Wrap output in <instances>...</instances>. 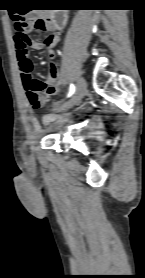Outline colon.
<instances>
[{
    "mask_svg": "<svg viewBox=\"0 0 145 278\" xmlns=\"http://www.w3.org/2000/svg\"><path fill=\"white\" fill-rule=\"evenodd\" d=\"M49 25V19L48 18H35L32 23L33 30L36 31H44L47 29ZM27 28V25L22 22L21 20L14 19V36L18 42V45L16 46L17 50V57L20 59H23L25 56H27L28 51V37L25 34V30ZM29 87V93H28V99L30 104L35 107H41L42 106V100L40 96V85L34 80H30L28 83Z\"/></svg>",
    "mask_w": 145,
    "mask_h": 278,
    "instance_id": "5ec220e1",
    "label": "colon"
}]
</instances>
